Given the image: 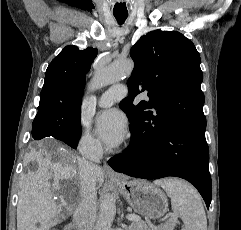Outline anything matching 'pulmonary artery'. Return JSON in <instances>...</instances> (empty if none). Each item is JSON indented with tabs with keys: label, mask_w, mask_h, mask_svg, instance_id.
<instances>
[{
	"label": "pulmonary artery",
	"mask_w": 241,
	"mask_h": 230,
	"mask_svg": "<svg viewBox=\"0 0 241 230\" xmlns=\"http://www.w3.org/2000/svg\"><path fill=\"white\" fill-rule=\"evenodd\" d=\"M127 94L128 90L125 85L113 86L99 98L98 104L101 107H109L115 101L125 98Z\"/></svg>",
	"instance_id": "pulmonary-artery-1"
}]
</instances>
